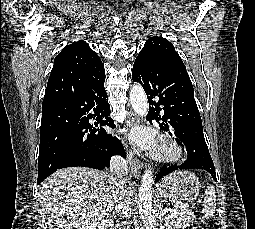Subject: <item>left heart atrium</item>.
<instances>
[{
	"label": "left heart atrium",
	"mask_w": 255,
	"mask_h": 229,
	"mask_svg": "<svg viewBox=\"0 0 255 229\" xmlns=\"http://www.w3.org/2000/svg\"><path fill=\"white\" fill-rule=\"evenodd\" d=\"M130 138L140 147L153 149L156 145L155 134L144 127H136L130 133Z\"/></svg>",
	"instance_id": "left-heart-atrium-1"
}]
</instances>
